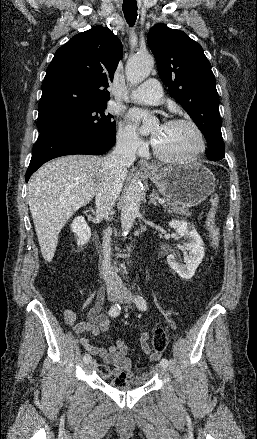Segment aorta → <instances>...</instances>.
I'll return each instance as SVG.
<instances>
[{"label": "aorta", "mask_w": 257, "mask_h": 439, "mask_svg": "<svg viewBox=\"0 0 257 439\" xmlns=\"http://www.w3.org/2000/svg\"><path fill=\"white\" fill-rule=\"evenodd\" d=\"M154 66L153 58L149 55H133L126 64L125 73L127 80L137 85L146 79ZM149 125L144 124L141 131L146 132ZM142 196V183L138 179H134L128 186L122 205L121 211V227L124 233H128L139 214V207Z\"/></svg>", "instance_id": "aorta-1"}]
</instances>
